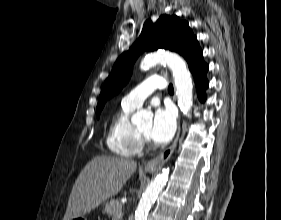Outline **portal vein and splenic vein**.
Segmentation results:
<instances>
[{
    "mask_svg": "<svg viewBox=\"0 0 281 220\" xmlns=\"http://www.w3.org/2000/svg\"><path fill=\"white\" fill-rule=\"evenodd\" d=\"M122 214H123L122 212H119V213H117V216L120 217V216H122Z\"/></svg>",
    "mask_w": 281,
    "mask_h": 220,
    "instance_id": "18ae733b",
    "label": "portal vein and splenic vein"
}]
</instances>
